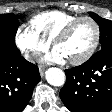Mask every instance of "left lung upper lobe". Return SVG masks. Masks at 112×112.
<instances>
[{
	"label": "left lung upper lobe",
	"instance_id": "left-lung-upper-lobe-1",
	"mask_svg": "<svg viewBox=\"0 0 112 112\" xmlns=\"http://www.w3.org/2000/svg\"><path fill=\"white\" fill-rule=\"evenodd\" d=\"M89 14L99 25L101 49L112 47V21L101 18L92 12Z\"/></svg>",
	"mask_w": 112,
	"mask_h": 112
}]
</instances>
